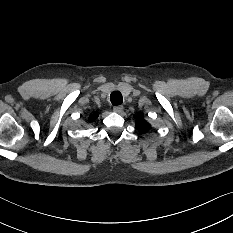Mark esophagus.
Instances as JSON below:
<instances>
[{
    "label": "esophagus",
    "instance_id": "obj_1",
    "mask_svg": "<svg viewBox=\"0 0 233 233\" xmlns=\"http://www.w3.org/2000/svg\"><path fill=\"white\" fill-rule=\"evenodd\" d=\"M123 106L122 105H117V106H114L113 107V110L116 112V113H121L123 112Z\"/></svg>",
    "mask_w": 233,
    "mask_h": 233
}]
</instances>
